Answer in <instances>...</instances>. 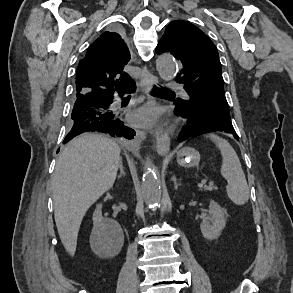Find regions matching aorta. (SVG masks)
<instances>
[{"instance_id":"obj_1","label":"aorta","mask_w":293,"mask_h":293,"mask_svg":"<svg viewBox=\"0 0 293 293\" xmlns=\"http://www.w3.org/2000/svg\"><path fill=\"white\" fill-rule=\"evenodd\" d=\"M157 70L164 80H172L176 76L175 59L164 54L157 58ZM142 197L149 206L157 205L161 200V182L153 168V163L149 156L143 168V178L141 183Z\"/></svg>"}]
</instances>
